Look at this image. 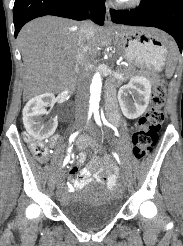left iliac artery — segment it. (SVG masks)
Listing matches in <instances>:
<instances>
[{"mask_svg":"<svg viewBox=\"0 0 183 246\" xmlns=\"http://www.w3.org/2000/svg\"><path fill=\"white\" fill-rule=\"evenodd\" d=\"M94 118H95L96 123L101 127L102 123H101V120H100V115H99V111L98 110H94ZM113 156L116 159V161L118 162V164L121 165V161L119 159L118 154L116 152H114Z\"/></svg>","mask_w":183,"mask_h":246,"instance_id":"left-iliac-artery-1","label":"left iliac artery"}]
</instances>
